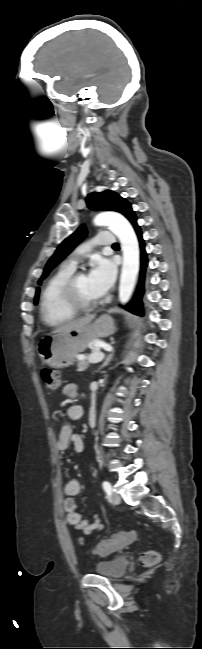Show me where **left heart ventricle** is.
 Listing matches in <instances>:
<instances>
[{
    "mask_svg": "<svg viewBox=\"0 0 202 649\" xmlns=\"http://www.w3.org/2000/svg\"><path fill=\"white\" fill-rule=\"evenodd\" d=\"M77 286H78V292L80 296L85 300H94L100 297L91 288L86 275H82L81 277H79Z\"/></svg>",
    "mask_w": 202,
    "mask_h": 649,
    "instance_id": "b2bd125f",
    "label": "left heart ventricle"
}]
</instances>
